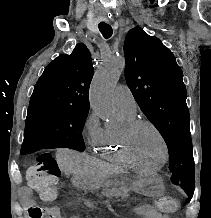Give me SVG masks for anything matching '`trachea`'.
I'll list each match as a JSON object with an SVG mask.
<instances>
[{
  "label": "trachea",
  "instance_id": "3493384b",
  "mask_svg": "<svg viewBox=\"0 0 211 218\" xmlns=\"http://www.w3.org/2000/svg\"><path fill=\"white\" fill-rule=\"evenodd\" d=\"M99 30L106 39L112 36L113 30L110 25H99Z\"/></svg>",
  "mask_w": 211,
  "mask_h": 218
}]
</instances>
